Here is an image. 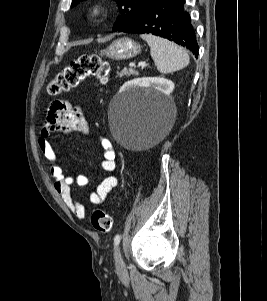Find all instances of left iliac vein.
<instances>
[{"mask_svg": "<svg viewBox=\"0 0 267 301\" xmlns=\"http://www.w3.org/2000/svg\"><path fill=\"white\" fill-rule=\"evenodd\" d=\"M115 266L118 272H124L126 266L119 247H116L114 252Z\"/></svg>", "mask_w": 267, "mask_h": 301, "instance_id": "left-iliac-vein-1", "label": "left iliac vein"}]
</instances>
